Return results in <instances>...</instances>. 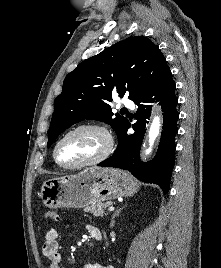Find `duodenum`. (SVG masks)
Returning a JSON list of instances; mask_svg holds the SVG:
<instances>
[{"instance_id": "410a0bca", "label": "duodenum", "mask_w": 221, "mask_h": 268, "mask_svg": "<svg viewBox=\"0 0 221 268\" xmlns=\"http://www.w3.org/2000/svg\"><path fill=\"white\" fill-rule=\"evenodd\" d=\"M95 239H97V240L101 239V234H96Z\"/></svg>"}]
</instances>
